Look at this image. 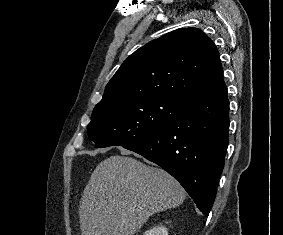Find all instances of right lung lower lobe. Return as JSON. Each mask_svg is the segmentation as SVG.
I'll return each mask as SVG.
<instances>
[{"label":"right lung lower lobe","mask_w":283,"mask_h":235,"mask_svg":"<svg viewBox=\"0 0 283 235\" xmlns=\"http://www.w3.org/2000/svg\"><path fill=\"white\" fill-rule=\"evenodd\" d=\"M229 101L225 83L183 100L161 130L124 148L175 177L208 216L228 146Z\"/></svg>","instance_id":"98d812e1"}]
</instances>
